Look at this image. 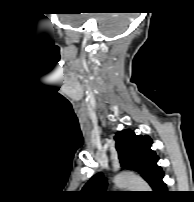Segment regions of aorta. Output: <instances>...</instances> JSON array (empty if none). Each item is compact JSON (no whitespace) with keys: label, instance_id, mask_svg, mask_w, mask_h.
Segmentation results:
<instances>
[{"label":"aorta","instance_id":"1","mask_svg":"<svg viewBox=\"0 0 194 202\" xmlns=\"http://www.w3.org/2000/svg\"><path fill=\"white\" fill-rule=\"evenodd\" d=\"M114 183L119 188H129L135 191H150V187L142 179L126 174L116 176Z\"/></svg>","mask_w":194,"mask_h":202}]
</instances>
